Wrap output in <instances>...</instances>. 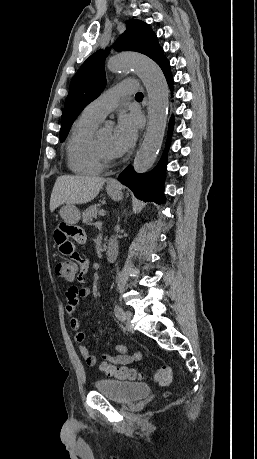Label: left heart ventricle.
<instances>
[{
	"label": "left heart ventricle",
	"instance_id": "left-heart-ventricle-1",
	"mask_svg": "<svg viewBox=\"0 0 257 459\" xmlns=\"http://www.w3.org/2000/svg\"><path fill=\"white\" fill-rule=\"evenodd\" d=\"M99 140L103 148L110 154H114L113 150V132L112 130H103L99 133Z\"/></svg>",
	"mask_w": 257,
	"mask_h": 459
}]
</instances>
